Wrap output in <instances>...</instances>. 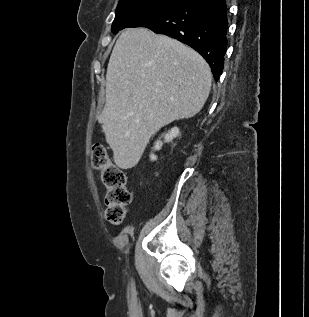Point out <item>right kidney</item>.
<instances>
[{
  "label": "right kidney",
  "mask_w": 309,
  "mask_h": 317,
  "mask_svg": "<svg viewBox=\"0 0 309 317\" xmlns=\"http://www.w3.org/2000/svg\"><path fill=\"white\" fill-rule=\"evenodd\" d=\"M164 137V142L169 143L172 142V140L178 136H180V131L179 128L174 127L168 133H165L162 135ZM163 145V142L161 140H157L154 144V150H160ZM150 160L151 161H156L157 156L154 155L153 153L150 154Z\"/></svg>",
  "instance_id": "obj_1"
}]
</instances>
